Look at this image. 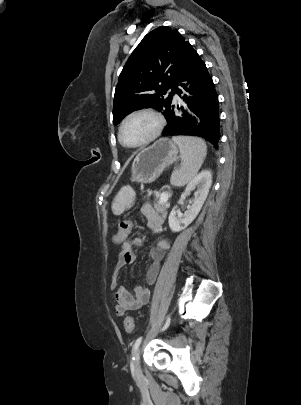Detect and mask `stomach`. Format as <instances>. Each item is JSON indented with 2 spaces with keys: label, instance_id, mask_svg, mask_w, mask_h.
<instances>
[{
  "label": "stomach",
  "instance_id": "stomach-1",
  "mask_svg": "<svg viewBox=\"0 0 301 405\" xmlns=\"http://www.w3.org/2000/svg\"><path fill=\"white\" fill-rule=\"evenodd\" d=\"M178 154L176 144L162 138L153 145L141 150L133 160L131 173L132 181L141 184L154 182L162 171L172 164Z\"/></svg>",
  "mask_w": 301,
  "mask_h": 405
}]
</instances>
